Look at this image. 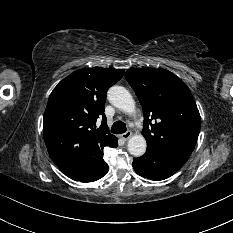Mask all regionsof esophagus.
<instances>
[{
  "instance_id": "obj_1",
  "label": "esophagus",
  "mask_w": 233,
  "mask_h": 233,
  "mask_svg": "<svg viewBox=\"0 0 233 233\" xmlns=\"http://www.w3.org/2000/svg\"><path fill=\"white\" fill-rule=\"evenodd\" d=\"M131 136H132V132L131 131H127V132L121 134V138L123 140H128Z\"/></svg>"
}]
</instances>
